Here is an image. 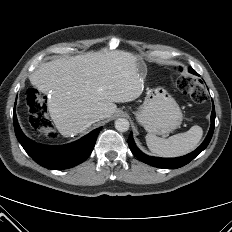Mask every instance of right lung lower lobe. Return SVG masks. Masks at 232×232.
<instances>
[{"instance_id":"obj_1","label":"right lung lower lobe","mask_w":232,"mask_h":232,"mask_svg":"<svg viewBox=\"0 0 232 232\" xmlns=\"http://www.w3.org/2000/svg\"><path fill=\"white\" fill-rule=\"evenodd\" d=\"M13 122L16 137L27 154L48 169L62 170L76 166L91 154L101 128L95 129L80 140L61 146H46L28 139L21 131L14 111Z\"/></svg>"}]
</instances>
